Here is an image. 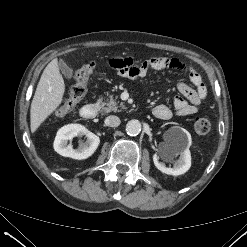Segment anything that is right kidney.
<instances>
[{
	"mask_svg": "<svg viewBox=\"0 0 247 247\" xmlns=\"http://www.w3.org/2000/svg\"><path fill=\"white\" fill-rule=\"evenodd\" d=\"M85 136L86 142H81L78 149H73L68 140ZM100 144V139L80 124H69L60 128L54 140V150L65 157L77 160L87 159L93 155Z\"/></svg>",
	"mask_w": 247,
	"mask_h": 247,
	"instance_id": "ca27d5eb",
	"label": "right kidney"
}]
</instances>
